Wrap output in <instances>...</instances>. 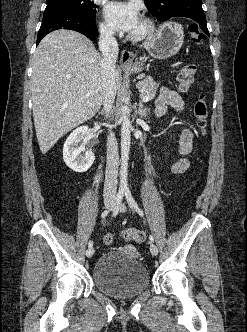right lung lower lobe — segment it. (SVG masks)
<instances>
[{
  "mask_svg": "<svg viewBox=\"0 0 247 332\" xmlns=\"http://www.w3.org/2000/svg\"><path fill=\"white\" fill-rule=\"evenodd\" d=\"M58 29H69L80 32L88 38L98 36L95 16L75 10L46 11L37 36V45L48 33Z\"/></svg>",
  "mask_w": 247,
  "mask_h": 332,
  "instance_id": "98d812e1",
  "label": "right lung lower lobe"
}]
</instances>
